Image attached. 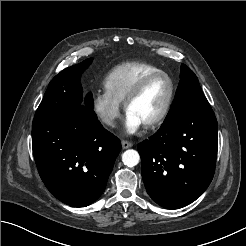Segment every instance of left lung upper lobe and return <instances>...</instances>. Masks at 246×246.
<instances>
[{"instance_id":"1","label":"left lung upper lobe","mask_w":246,"mask_h":246,"mask_svg":"<svg viewBox=\"0 0 246 246\" xmlns=\"http://www.w3.org/2000/svg\"><path fill=\"white\" fill-rule=\"evenodd\" d=\"M194 72L185 64L181 65L180 82L170 112L165 120L171 119L176 114L200 105L207 104Z\"/></svg>"}]
</instances>
